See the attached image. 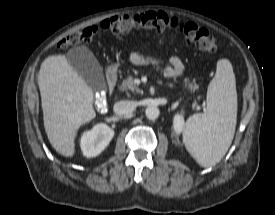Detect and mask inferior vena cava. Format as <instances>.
Wrapping results in <instances>:
<instances>
[{"mask_svg": "<svg viewBox=\"0 0 275 215\" xmlns=\"http://www.w3.org/2000/svg\"><path fill=\"white\" fill-rule=\"evenodd\" d=\"M135 109L134 102L129 100H123L114 104L113 110L117 115H126L133 112Z\"/></svg>", "mask_w": 275, "mask_h": 215, "instance_id": "602c4592", "label": "inferior vena cava"}]
</instances>
